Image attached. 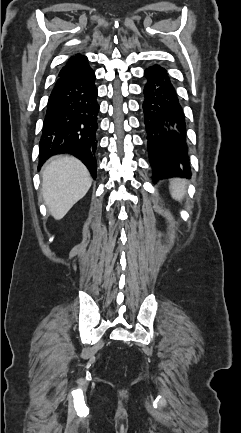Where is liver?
Returning <instances> with one entry per match:
<instances>
[{
  "label": "liver",
  "instance_id": "obj_1",
  "mask_svg": "<svg viewBox=\"0 0 241 433\" xmlns=\"http://www.w3.org/2000/svg\"><path fill=\"white\" fill-rule=\"evenodd\" d=\"M42 194L49 213L56 220L82 199L92 184L89 171L78 159L60 155L50 159L42 169Z\"/></svg>",
  "mask_w": 241,
  "mask_h": 433
}]
</instances>
